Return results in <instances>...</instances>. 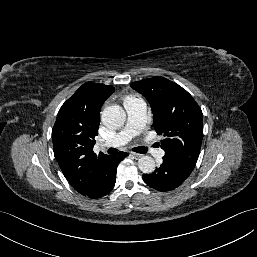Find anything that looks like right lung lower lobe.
<instances>
[{
	"label": "right lung lower lobe",
	"instance_id": "1",
	"mask_svg": "<svg viewBox=\"0 0 257 257\" xmlns=\"http://www.w3.org/2000/svg\"><path fill=\"white\" fill-rule=\"evenodd\" d=\"M128 156L126 152H118L115 155L107 156L97 173L96 180L86 192L81 193L89 198H101L108 194L115 185L116 170L118 164Z\"/></svg>",
	"mask_w": 257,
	"mask_h": 257
}]
</instances>
